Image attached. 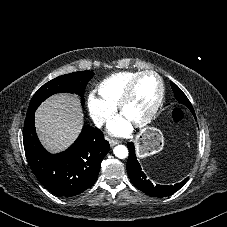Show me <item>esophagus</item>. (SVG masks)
Returning <instances> with one entry per match:
<instances>
[{"label":"esophagus","instance_id":"esophagus-1","mask_svg":"<svg viewBox=\"0 0 227 227\" xmlns=\"http://www.w3.org/2000/svg\"><path fill=\"white\" fill-rule=\"evenodd\" d=\"M119 140H117V139H109V144L111 145V146H114V145H116V144H119Z\"/></svg>","mask_w":227,"mask_h":227}]
</instances>
